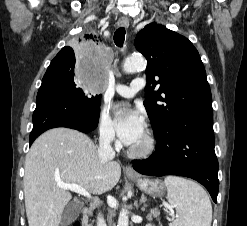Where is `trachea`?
<instances>
[{
  "instance_id": "obj_1",
  "label": "trachea",
  "mask_w": 247,
  "mask_h": 226,
  "mask_svg": "<svg viewBox=\"0 0 247 226\" xmlns=\"http://www.w3.org/2000/svg\"><path fill=\"white\" fill-rule=\"evenodd\" d=\"M125 28L124 27H120L116 30V32L114 33V42L118 47H122L124 40H125Z\"/></svg>"
}]
</instances>
